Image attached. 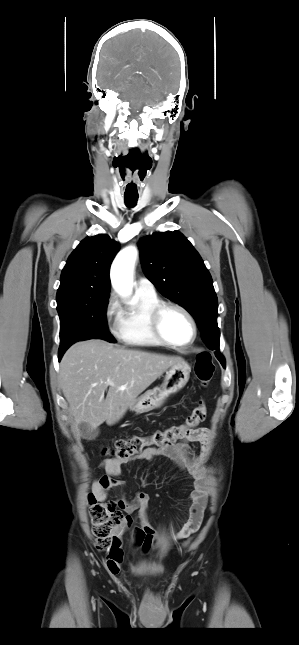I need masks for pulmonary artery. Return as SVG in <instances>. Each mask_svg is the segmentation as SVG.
<instances>
[{"label":"pulmonary artery","instance_id":"pulmonary-artery-1","mask_svg":"<svg viewBox=\"0 0 299 645\" xmlns=\"http://www.w3.org/2000/svg\"><path fill=\"white\" fill-rule=\"evenodd\" d=\"M135 289H136V291H140V292L147 293V294L156 293V290H155V287H154L153 283L150 280H148L147 278H144V277L139 278L137 280L136 285H135Z\"/></svg>","mask_w":299,"mask_h":645}]
</instances>
